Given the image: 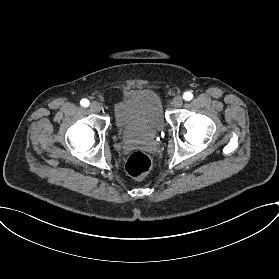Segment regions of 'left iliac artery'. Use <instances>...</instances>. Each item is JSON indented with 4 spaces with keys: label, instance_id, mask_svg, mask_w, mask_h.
Here are the masks:
<instances>
[{
    "label": "left iliac artery",
    "instance_id": "obj_1",
    "mask_svg": "<svg viewBox=\"0 0 279 279\" xmlns=\"http://www.w3.org/2000/svg\"><path fill=\"white\" fill-rule=\"evenodd\" d=\"M183 98L186 100V101H190L192 98H193V94L192 92L190 91H187L183 94Z\"/></svg>",
    "mask_w": 279,
    "mask_h": 279
}]
</instances>
